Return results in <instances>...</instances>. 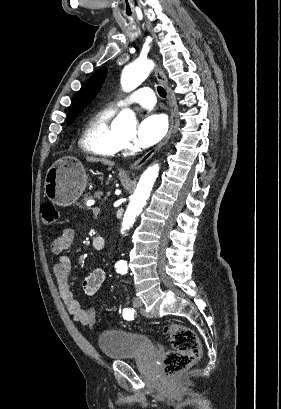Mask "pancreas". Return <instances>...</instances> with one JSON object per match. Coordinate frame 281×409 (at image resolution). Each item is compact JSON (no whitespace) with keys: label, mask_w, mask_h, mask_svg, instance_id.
<instances>
[{"label":"pancreas","mask_w":281,"mask_h":409,"mask_svg":"<svg viewBox=\"0 0 281 409\" xmlns=\"http://www.w3.org/2000/svg\"><path fill=\"white\" fill-rule=\"evenodd\" d=\"M103 192L102 190H95L94 194H89V192H86V194H84L82 200H88V198H101Z\"/></svg>","instance_id":"1"}]
</instances>
